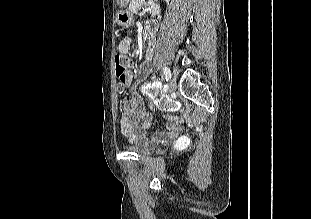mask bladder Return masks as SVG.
I'll list each match as a JSON object with an SVG mask.
<instances>
[{
	"instance_id": "bladder-1",
	"label": "bladder",
	"mask_w": 311,
	"mask_h": 219,
	"mask_svg": "<svg viewBox=\"0 0 311 219\" xmlns=\"http://www.w3.org/2000/svg\"><path fill=\"white\" fill-rule=\"evenodd\" d=\"M157 144L155 143H146V144H137L127 147V150L138 155H147L149 154Z\"/></svg>"
}]
</instances>
